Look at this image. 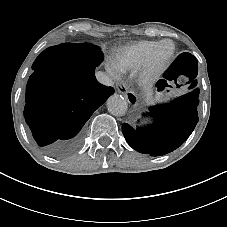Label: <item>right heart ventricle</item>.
<instances>
[{"label":"right heart ventricle","mask_w":227,"mask_h":227,"mask_svg":"<svg viewBox=\"0 0 227 227\" xmlns=\"http://www.w3.org/2000/svg\"><path fill=\"white\" fill-rule=\"evenodd\" d=\"M163 41H137L128 43L119 49L115 56V65L121 69H136L145 64Z\"/></svg>","instance_id":"right-heart-ventricle-1"}]
</instances>
